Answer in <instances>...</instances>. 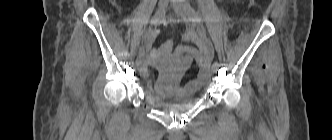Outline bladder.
I'll list each match as a JSON object with an SVG mask.
<instances>
[{
  "instance_id": "1",
  "label": "bladder",
  "mask_w": 332,
  "mask_h": 140,
  "mask_svg": "<svg viewBox=\"0 0 332 140\" xmlns=\"http://www.w3.org/2000/svg\"><path fill=\"white\" fill-rule=\"evenodd\" d=\"M201 87L202 85L193 90L186 91L181 96H175L174 98L162 97L152 92H148L147 95L150 102L165 110H183L186 109L189 105H191L195 101L196 95L200 91Z\"/></svg>"
}]
</instances>
